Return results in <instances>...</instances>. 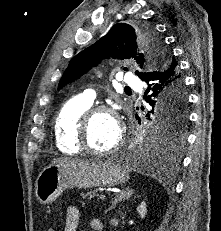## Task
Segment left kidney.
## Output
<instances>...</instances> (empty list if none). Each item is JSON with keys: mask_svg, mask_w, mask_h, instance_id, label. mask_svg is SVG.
Wrapping results in <instances>:
<instances>
[{"mask_svg": "<svg viewBox=\"0 0 221 231\" xmlns=\"http://www.w3.org/2000/svg\"><path fill=\"white\" fill-rule=\"evenodd\" d=\"M137 213L142 219L145 218L147 213V205L145 202H141V204L137 207Z\"/></svg>", "mask_w": 221, "mask_h": 231, "instance_id": "obj_1", "label": "left kidney"}]
</instances>
